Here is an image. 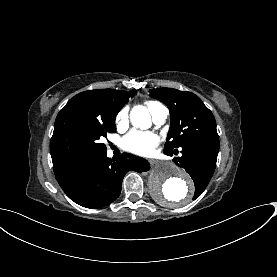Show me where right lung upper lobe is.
<instances>
[{
  "instance_id": "cb5924a9",
  "label": "right lung upper lobe",
  "mask_w": 277,
  "mask_h": 277,
  "mask_svg": "<svg viewBox=\"0 0 277 277\" xmlns=\"http://www.w3.org/2000/svg\"><path fill=\"white\" fill-rule=\"evenodd\" d=\"M135 93V90L126 92L115 89H96L75 95L59 112L52 137H66L69 135L62 119L70 114L96 120L104 125L114 123L117 113Z\"/></svg>"
}]
</instances>
